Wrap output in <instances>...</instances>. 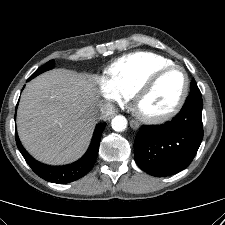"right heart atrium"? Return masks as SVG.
<instances>
[{"label": "right heart atrium", "mask_w": 225, "mask_h": 225, "mask_svg": "<svg viewBox=\"0 0 225 225\" xmlns=\"http://www.w3.org/2000/svg\"><path fill=\"white\" fill-rule=\"evenodd\" d=\"M98 94L105 100L121 104L125 97L116 90L107 78L100 77L97 80Z\"/></svg>", "instance_id": "obj_1"}]
</instances>
